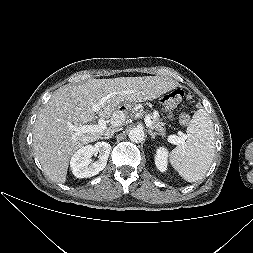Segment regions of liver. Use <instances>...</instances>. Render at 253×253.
Segmentation results:
<instances>
[{
	"mask_svg": "<svg viewBox=\"0 0 253 253\" xmlns=\"http://www.w3.org/2000/svg\"><path fill=\"white\" fill-rule=\"evenodd\" d=\"M177 87L173 80L159 77H119L92 79L79 85H65L56 90L40 110L34 124L33 148L44 173L56 183H65L70 158L82 146L100 139L107 131L120 129L127 115L116 109L122 103L154 100ZM109 97L98 112L92 110ZM116 113L122 119L113 120ZM111 117V126L100 132L77 135L78 127L97 118Z\"/></svg>",
	"mask_w": 253,
	"mask_h": 253,
	"instance_id": "1",
	"label": "liver"
}]
</instances>
